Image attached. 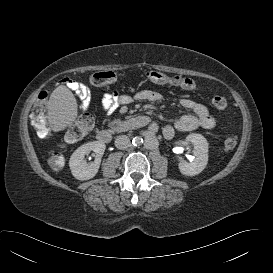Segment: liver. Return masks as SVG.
<instances>
[{
  "mask_svg": "<svg viewBox=\"0 0 273 273\" xmlns=\"http://www.w3.org/2000/svg\"><path fill=\"white\" fill-rule=\"evenodd\" d=\"M78 114V104L73 93L64 85L58 86L48 101V123L54 132L73 124Z\"/></svg>",
  "mask_w": 273,
  "mask_h": 273,
  "instance_id": "6515ba94",
  "label": "liver"
}]
</instances>
